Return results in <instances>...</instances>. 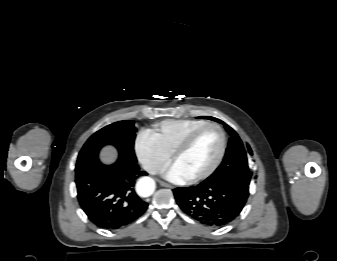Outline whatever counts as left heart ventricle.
<instances>
[{
	"label": "left heart ventricle",
	"instance_id": "obj_1",
	"mask_svg": "<svg viewBox=\"0 0 337 261\" xmlns=\"http://www.w3.org/2000/svg\"><path fill=\"white\" fill-rule=\"evenodd\" d=\"M220 146L219 132L212 128L206 129L174 162L190 177H193L205 171L214 162Z\"/></svg>",
	"mask_w": 337,
	"mask_h": 261
}]
</instances>
